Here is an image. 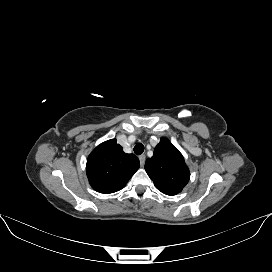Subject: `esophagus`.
Masks as SVG:
<instances>
[{"label":"esophagus","mask_w":272,"mask_h":272,"mask_svg":"<svg viewBox=\"0 0 272 272\" xmlns=\"http://www.w3.org/2000/svg\"><path fill=\"white\" fill-rule=\"evenodd\" d=\"M139 160H140L141 166H144L145 160H146V156L145 155H140L139 156Z\"/></svg>","instance_id":"1"}]
</instances>
